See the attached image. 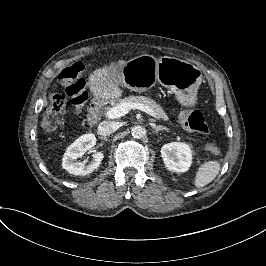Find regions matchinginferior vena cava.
I'll use <instances>...</instances> for the list:
<instances>
[{"instance_id":"1","label":"inferior vena cava","mask_w":266,"mask_h":266,"mask_svg":"<svg viewBox=\"0 0 266 266\" xmlns=\"http://www.w3.org/2000/svg\"><path fill=\"white\" fill-rule=\"evenodd\" d=\"M116 130V124L108 121L101 122L97 127L100 136H109Z\"/></svg>"}]
</instances>
